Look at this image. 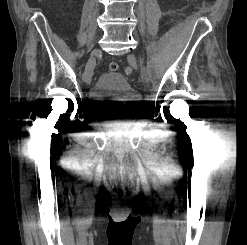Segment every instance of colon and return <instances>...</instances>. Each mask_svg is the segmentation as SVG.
I'll return each mask as SVG.
<instances>
[{"instance_id": "colon-1", "label": "colon", "mask_w": 247, "mask_h": 245, "mask_svg": "<svg viewBox=\"0 0 247 245\" xmlns=\"http://www.w3.org/2000/svg\"><path fill=\"white\" fill-rule=\"evenodd\" d=\"M108 67H109V70L110 71L115 72V71L118 70L119 65L116 62H110L109 65H108Z\"/></svg>"}]
</instances>
